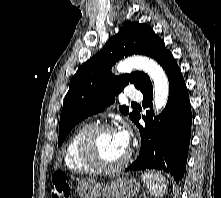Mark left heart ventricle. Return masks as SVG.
<instances>
[{
  "instance_id": "obj_1",
  "label": "left heart ventricle",
  "mask_w": 221,
  "mask_h": 198,
  "mask_svg": "<svg viewBox=\"0 0 221 198\" xmlns=\"http://www.w3.org/2000/svg\"><path fill=\"white\" fill-rule=\"evenodd\" d=\"M126 152L127 148L121 145L115 131L103 132L98 137L97 153L104 163H118L124 158Z\"/></svg>"
}]
</instances>
